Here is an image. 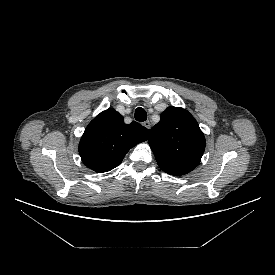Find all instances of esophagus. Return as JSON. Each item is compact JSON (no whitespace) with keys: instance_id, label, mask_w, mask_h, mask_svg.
Returning <instances> with one entry per match:
<instances>
[{"instance_id":"1","label":"esophagus","mask_w":275,"mask_h":275,"mask_svg":"<svg viewBox=\"0 0 275 275\" xmlns=\"http://www.w3.org/2000/svg\"><path fill=\"white\" fill-rule=\"evenodd\" d=\"M142 125H143L144 127H146L147 129H150V127H151V124H150L149 121L143 122Z\"/></svg>"}]
</instances>
